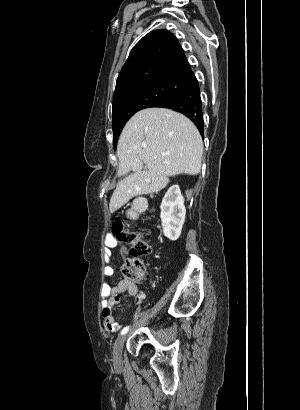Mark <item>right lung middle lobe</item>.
Returning <instances> with one entry per match:
<instances>
[{
    "mask_svg": "<svg viewBox=\"0 0 300 410\" xmlns=\"http://www.w3.org/2000/svg\"><path fill=\"white\" fill-rule=\"evenodd\" d=\"M188 83L161 82L125 89L113 100V145L116 148L119 135L131 116L149 107H161L174 99Z\"/></svg>",
    "mask_w": 300,
    "mask_h": 410,
    "instance_id": "right-lung-middle-lobe-1",
    "label": "right lung middle lobe"
}]
</instances>
